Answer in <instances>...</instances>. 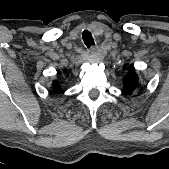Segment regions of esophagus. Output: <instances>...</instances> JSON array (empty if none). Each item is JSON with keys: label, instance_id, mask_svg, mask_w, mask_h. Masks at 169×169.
Masks as SVG:
<instances>
[{"label": "esophagus", "instance_id": "obj_1", "mask_svg": "<svg viewBox=\"0 0 169 169\" xmlns=\"http://www.w3.org/2000/svg\"><path fill=\"white\" fill-rule=\"evenodd\" d=\"M90 50H91V51H95V50H96V47H95V46H92V47L90 48Z\"/></svg>", "mask_w": 169, "mask_h": 169}]
</instances>
